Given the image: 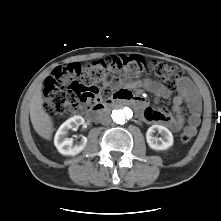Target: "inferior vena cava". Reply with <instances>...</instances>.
<instances>
[{"mask_svg":"<svg viewBox=\"0 0 221 221\" xmlns=\"http://www.w3.org/2000/svg\"><path fill=\"white\" fill-rule=\"evenodd\" d=\"M99 122L102 125H109L111 123V117L110 114L107 112H103L99 115Z\"/></svg>","mask_w":221,"mask_h":221,"instance_id":"602c4592","label":"inferior vena cava"}]
</instances>
